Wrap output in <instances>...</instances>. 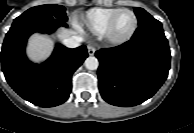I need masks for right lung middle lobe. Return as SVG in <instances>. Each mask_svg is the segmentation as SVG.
I'll return each mask as SVG.
<instances>
[{
	"label": "right lung middle lobe",
	"instance_id": "dd1d6c3e",
	"mask_svg": "<svg viewBox=\"0 0 194 133\" xmlns=\"http://www.w3.org/2000/svg\"><path fill=\"white\" fill-rule=\"evenodd\" d=\"M39 19H59L67 21L65 8L61 5H41L28 9L19 17H17L13 23H17L25 20H39Z\"/></svg>",
	"mask_w": 194,
	"mask_h": 133
}]
</instances>
